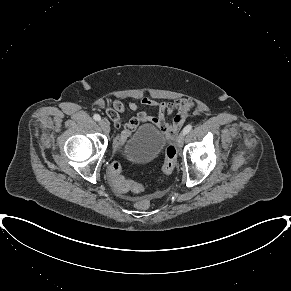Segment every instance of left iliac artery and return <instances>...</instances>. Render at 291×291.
<instances>
[{"label": "left iliac artery", "instance_id": "left-iliac-artery-1", "mask_svg": "<svg viewBox=\"0 0 291 291\" xmlns=\"http://www.w3.org/2000/svg\"><path fill=\"white\" fill-rule=\"evenodd\" d=\"M192 127L193 126L191 124L185 126L184 129H183V131H182L183 134L186 135L187 133H189L191 131Z\"/></svg>", "mask_w": 291, "mask_h": 291}]
</instances>
